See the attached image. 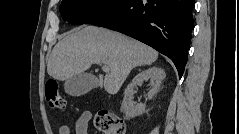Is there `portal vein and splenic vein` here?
Returning a JSON list of instances; mask_svg holds the SVG:
<instances>
[{
    "instance_id": "18ae733b",
    "label": "portal vein and splenic vein",
    "mask_w": 239,
    "mask_h": 134,
    "mask_svg": "<svg viewBox=\"0 0 239 134\" xmlns=\"http://www.w3.org/2000/svg\"><path fill=\"white\" fill-rule=\"evenodd\" d=\"M99 64H103V63H99ZM102 69H103V71H105V72H109V66L107 65V64H103L102 65Z\"/></svg>"
}]
</instances>
